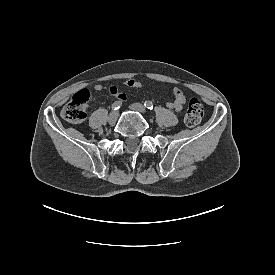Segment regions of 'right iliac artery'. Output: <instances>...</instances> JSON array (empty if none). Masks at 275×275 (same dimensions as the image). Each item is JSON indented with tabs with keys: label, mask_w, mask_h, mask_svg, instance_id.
<instances>
[{
	"label": "right iliac artery",
	"mask_w": 275,
	"mask_h": 275,
	"mask_svg": "<svg viewBox=\"0 0 275 275\" xmlns=\"http://www.w3.org/2000/svg\"><path fill=\"white\" fill-rule=\"evenodd\" d=\"M122 103L120 101H116L112 104V110H118L121 107Z\"/></svg>",
	"instance_id": "1"
}]
</instances>
